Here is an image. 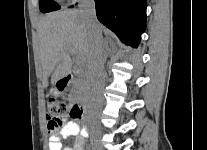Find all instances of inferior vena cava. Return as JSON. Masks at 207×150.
<instances>
[{
    "mask_svg": "<svg viewBox=\"0 0 207 150\" xmlns=\"http://www.w3.org/2000/svg\"><path fill=\"white\" fill-rule=\"evenodd\" d=\"M78 6L92 32L87 68L93 100L101 106L106 75L104 72L103 38L96 17L95 2L94 0H79Z\"/></svg>",
    "mask_w": 207,
    "mask_h": 150,
    "instance_id": "602c4592",
    "label": "inferior vena cava"
}]
</instances>
